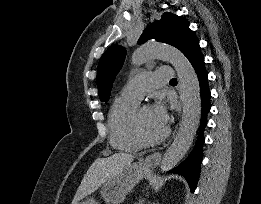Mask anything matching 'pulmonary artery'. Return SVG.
<instances>
[{
  "label": "pulmonary artery",
  "mask_w": 261,
  "mask_h": 204,
  "mask_svg": "<svg viewBox=\"0 0 261 204\" xmlns=\"http://www.w3.org/2000/svg\"><path fill=\"white\" fill-rule=\"evenodd\" d=\"M174 75L171 67H160L136 75L122 90L121 97L140 102L147 91L167 83Z\"/></svg>",
  "instance_id": "pulmonary-artery-1"
}]
</instances>
